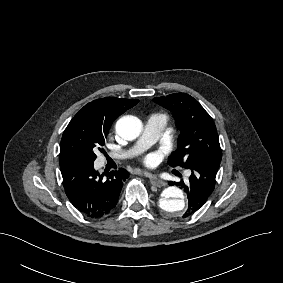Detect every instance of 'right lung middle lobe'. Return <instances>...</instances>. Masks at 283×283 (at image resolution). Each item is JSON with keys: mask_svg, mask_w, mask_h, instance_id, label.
<instances>
[{"mask_svg": "<svg viewBox=\"0 0 283 283\" xmlns=\"http://www.w3.org/2000/svg\"><path fill=\"white\" fill-rule=\"evenodd\" d=\"M109 127L95 121L72 119L65 129L61 143L60 167L72 162H93L96 159L94 151L105 144Z\"/></svg>", "mask_w": 283, "mask_h": 283, "instance_id": "obj_1", "label": "right lung middle lobe"}]
</instances>
